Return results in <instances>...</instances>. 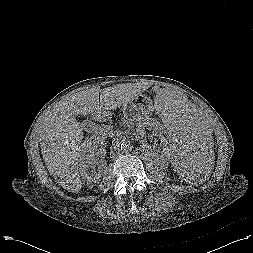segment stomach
Here are the masks:
<instances>
[{"label": "stomach", "mask_w": 253, "mask_h": 253, "mask_svg": "<svg viewBox=\"0 0 253 253\" xmlns=\"http://www.w3.org/2000/svg\"><path fill=\"white\" fill-rule=\"evenodd\" d=\"M154 109L150 98L139 95L135 100L122 106V113L130 121H140L150 117Z\"/></svg>", "instance_id": "obj_1"}]
</instances>
